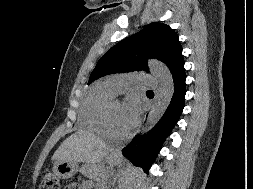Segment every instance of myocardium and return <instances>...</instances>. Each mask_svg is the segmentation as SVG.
I'll list each match as a JSON object with an SVG mask.
<instances>
[{
  "mask_svg": "<svg viewBox=\"0 0 253 189\" xmlns=\"http://www.w3.org/2000/svg\"><path fill=\"white\" fill-rule=\"evenodd\" d=\"M114 102H120L118 99L116 98H111L110 100H108L106 102V104L104 105L103 107V111H102V125H103V128H104V132L106 135L110 136V137H114V138H120V139H126L128 138L130 135H131V131H132V128L131 127L130 129H128L127 131L125 132H116L114 131L112 128H111V125H110V120H109V114H110V108L112 106V104Z\"/></svg>",
  "mask_w": 253,
  "mask_h": 189,
  "instance_id": "f54148a6",
  "label": "myocardium"
}]
</instances>
